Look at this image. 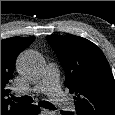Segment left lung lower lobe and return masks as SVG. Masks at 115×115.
I'll list each match as a JSON object with an SVG mask.
<instances>
[{
	"label": "left lung lower lobe",
	"instance_id": "0a47b994",
	"mask_svg": "<svg viewBox=\"0 0 115 115\" xmlns=\"http://www.w3.org/2000/svg\"><path fill=\"white\" fill-rule=\"evenodd\" d=\"M61 114L62 115H74L73 113L67 112V111H61Z\"/></svg>",
	"mask_w": 115,
	"mask_h": 115
}]
</instances>
